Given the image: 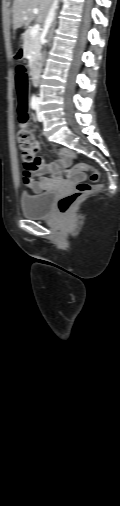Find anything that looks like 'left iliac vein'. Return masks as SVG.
<instances>
[{
	"label": "left iliac vein",
	"instance_id": "1",
	"mask_svg": "<svg viewBox=\"0 0 120 506\" xmlns=\"http://www.w3.org/2000/svg\"><path fill=\"white\" fill-rule=\"evenodd\" d=\"M37 119L39 121H43V116L41 115V113L39 111V102H38V105H37Z\"/></svg>",
	"mask_w": 120,
	"mask_h": 506
}]
</instances>
